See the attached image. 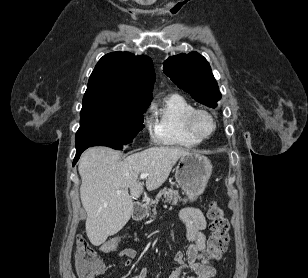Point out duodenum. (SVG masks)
<instances>
[{"instance_id":"410a0bca","label":"duodenum","mask_w":308,"mask_h":278,"mask_svg":"<svg viewBox=\"0 0 308 278\" xmlns=\"http://www.w3.org/2000/svg\"><path fill=\"white\" fill-rule=\"evenodd\" d=\"M146 210H147V206L145 203H137L134 207V210H133V218L135 220H140L143 218V216L145 215L146 213Z\"/></svg>"}]
</instances>
